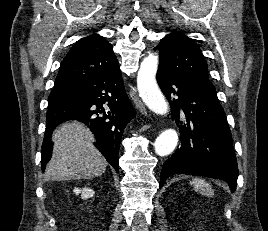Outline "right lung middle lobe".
<instances>
[{"mask_svg":"<svg viewBox=\"0 0 268 231\" xmlns=\"http://www.w3.org/2000/svg\"><path fill=\"white\" fill-rule=\"evenodd\" d=\"M79 94L77 88L53 89L48 98V106L58 105L75 99Z\"/></svg>","mask_w":268,"mask_h":231,"instance_id":"1","label":"right lung middle lobe"}]
</instances>
